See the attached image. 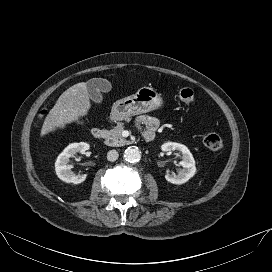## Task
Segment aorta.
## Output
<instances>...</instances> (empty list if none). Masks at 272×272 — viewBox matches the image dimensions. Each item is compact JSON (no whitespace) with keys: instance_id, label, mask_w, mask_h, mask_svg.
Wrapping results in <instances>:
<instances>
[{"instance_id":"obj_1","label":"aorta","mask_w":272,"mask_h":272,"mask_svg":"<svg viewBox=\"0 0 272 272\" xmlns=\"http://www.w3.org/2000/svg\"><path fill=\"white\" fill-rule=\"evenodd\" d=\"M124 158L127 162L136 163L140 161L141 154L137 148L128 147L124 152Z\"/></svg>"}]
</instances>
